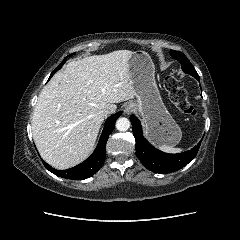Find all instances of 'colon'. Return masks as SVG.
I'll list each match as a JSON object with an SVG mask.
<instances>
[{"mask_svg": "<svg viewBox=\"0 0 240 240\" xmlns=\"http://www.w3.org/2000/svg\"><path fill=\"white\" fill-rule=\"evenodd\" d=\"M164 85L170 100L183 114L190 117L197 116V109L188 101L182 83L174 72L167 75Z\"/></svg>", "mask_w": 240, "mask_h": 240, "instance_id": "1", "label": "colon"}]
</instances>
